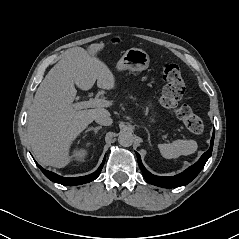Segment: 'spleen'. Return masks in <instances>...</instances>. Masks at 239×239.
<instances>
[{
	"label": "spleen",
	"instance_id": "spleen-1",
	"mask_svg": "<svg viewBox=\"0 0 239 239\" xmlns=\"http://www.w3.org/2000/svg\"><path fill=\"white\" fill-rule=\"evenodd\" d=\"M158 148L164 158L172 159L195 153L198 145L194 140H176L172 143L159 144Z\"/></svg>",
	"mask_w": 239,
	"mask_h": 239
}]
</instances>
